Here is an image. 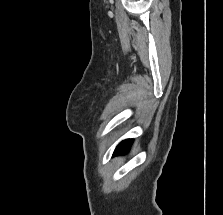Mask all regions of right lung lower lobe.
Here are the masks:
<instances>
[{
    "label": "right lung lower lobe",
    "mask_w": 223,
    "mask_h": 215,
    "mask_svg": "<svg viewBox=\"0 0 223 215\" xmlns=\"http://www.w3.org/2000/svg\"><path fill=\"white\" fill-rule=\"evenodd\" d=\"M132 142H133L132 139H127V140L122 141L116 147L113 156L122 155V154H125L126 152H128V150L130 149V146H131Z\"/></svg>",
    "instance_id": "98d812e1"
}]
</instances>
